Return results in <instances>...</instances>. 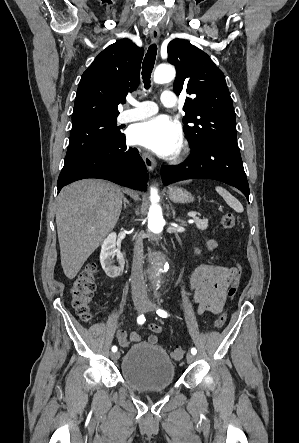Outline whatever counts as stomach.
Returning <instances> with one entry per match:
<instances>
[{"mask_svg": "<svg viewBox=\"0 0 299 443\" xmlns=\"http://www.w3.org/2000/svg\"><path fill=\"white\" fill-rule=\"evenodd\" d=\"M169 198L173 202L186 203L193 201V196L183 188L171 187L168 191Z\"/></svg>", "mask_w": 299, "mask_h": 443, "instance_id": "obj_1", "label": "stomach"}]
</instances>
